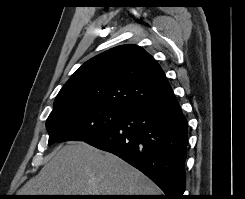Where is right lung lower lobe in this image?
Returning <instances> with one entry per match:
<instances>
[{
	"mask_svg": "<svg viewBox=\"0 0 245 199\" xmlns=\"http://www.w3.org/2000/svg\"><path fill=\"white\" fill-rule=\"evenodd\" d=\"M188 124L174 93L130 110L84 142L113 153L155 182L165 199H183Z\"/></svg>",
	"mask_w": 245,
	"mask_h": 199,
	"instance_id": "98d812e1",
	"label": "right lung lower lobe"
}]
</instances>
